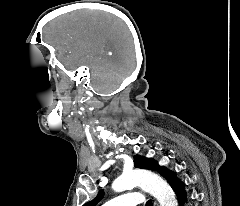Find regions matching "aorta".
I'll use <instances>...</instances> for the list:
<instances>
[{"instance_id":"aorta-1","label":"aorta","mask_w":240,"mask_h":206,"mask_svg":"<svg viewBox=\"0 0 240 206\" xmlns=\"http://www.w3.org/2000/svg\"><path fill=\"white\" fill-rule=\"evenodd\" d=\"M140 186L152 194L160 206H177L176 197L160 176L146 170L124 172L112 184L115 192H122L129 188Z\"/></svg>"}]
</instances>
